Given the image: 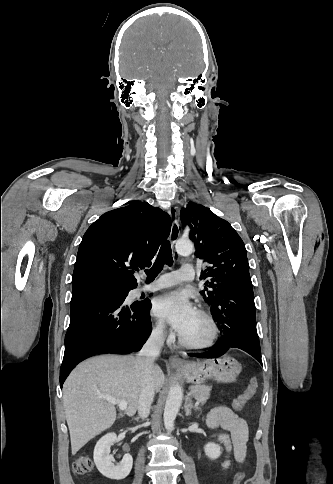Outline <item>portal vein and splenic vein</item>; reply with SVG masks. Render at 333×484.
Returning <instances> with one entry per match:
<instances>
[{
    "mask_svg": "<svg viewBox=\"0 0 333 484\" xmlns=\"http://www.w3.org/2000/svg\"><path fill=\"white\" fill-rule=\"evenodd\" d=\"M102 398H104L105 400H107L112 404H117L120 410H125L127 408V402L125 400H118L109 396H102ZM198 404L199 402L196 403V405Z\"/></svg>",
    "mask_w": 333,
    "mask_h": 484,
    "instance_id": "obj_1",
    "label": "portal vein and splenic vein"
}]
</instances>
